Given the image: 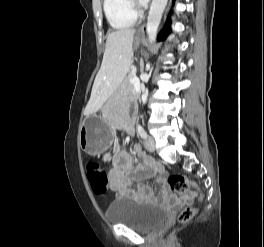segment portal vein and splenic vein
<instances>
[{"label":"portal vein and splenic vein","mask_w":264,"mask_h":247,"mask_svg":"<svg viewBox=\"0 0 264 247\" xmlns=\"http://www.w3.org/2000/svg\"><path fill=\"white\" fill-rule=\"evenodd\" d=\"M129 82H130V83H137V82H139V79L134 75L133 77H131V78L129 79Z\"/></svg>","instance_id":"portal-vein-and-splenic-vein-1"}]
</instances>
